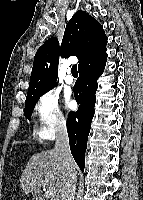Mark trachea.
Returning a JSON list of instances; mask_svg holds the SVG:
<instances>
[{
    "label": "trachea",
    "mask_w": 143,
    "mask_h": 200,
    "mask_svg": "<svg viewBox=\"0 0 143 200\" xmlns=\"http://www.w3.org/2000/svg\"><path fill=\"white\" fill-rule=\"evenodd\" d=\"M71 72L73 76H77L78 75V70H77V64H74L71 68Z\"/></svg>",
    "instance_id": "obj_1"
}]
</instances>
